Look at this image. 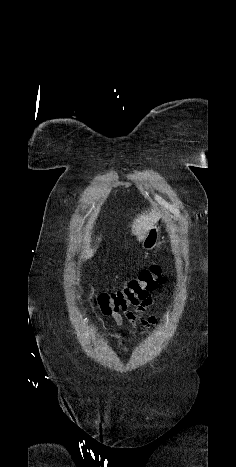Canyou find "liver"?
Here are the masks:
<instances>
[{
    "label": "liver",
    "mask_w": 236,
    "mask_h": 467,
    "mask_svg": "<svg viewBox=\"0 0 236 467\" xmlns=\"http://www.w3.org/2000/svg\"><path fill=\"white\" fill-rule=\"evenodd\" d=\"M161 214L156 211V209H152L149 213L145 212L141 215H138L136 219L133 220L131 225L132 233L137 237L138 241L141 242L145 239L148 232L153 228V226L157 223L160 219ZM100 241V238H98ZM96 249L91 248L90 246H86L84 251L82 252L81 258L82 259H90L93 257Z\"/></svg>",
    "instance_id": "obj_1"
}]
</instances>
